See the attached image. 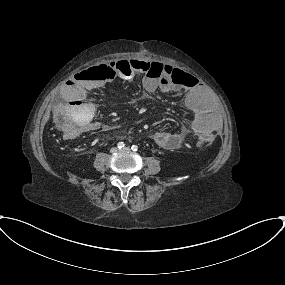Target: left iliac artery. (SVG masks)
I'll return each mask as SVG.
<instances>
[{
	"label": "left iliac artery",
	"instance_id": "44dca946",
	"mask_svg": "<svg viewBox=\"0 0 285 285\" xmlns=\"http://www.w3.org/2000/svg\"><path fill=\"white\" fill-rule=\"evenodd\" d=\"M131 149H132L133 151H137V150H138V146L132 145Z\"/></svg>",
	"mask_w": 285,
	"mask_h": 285
}]
</instances>
